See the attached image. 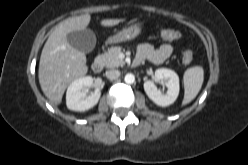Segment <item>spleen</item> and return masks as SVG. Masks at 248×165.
Wrapping results in <instances>:
<instances>
[{"instance_id": "spleen-1", "label": "spleen", "mask_w": 248, "mask_h": 165, "mask_svg": "<svg viewBox=\"0 0 248 165\" xmlns=\"http://www.w3.org/2000/svg\"><path fill=\"white\" fill-rule=\"evenodd\" d=\"M184 99L182 105L190 103L199 93L203 80L204 71L200 66L188 68L184 73Z\"/></svg>"}]
</instances>
